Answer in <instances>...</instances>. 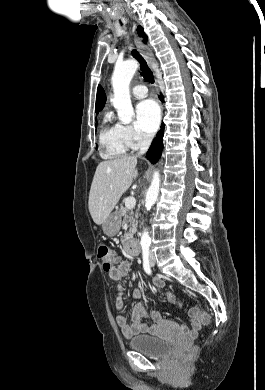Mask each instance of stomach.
<instances>
[{
    "mask_svg": "<svg viewBox=\"0 0 265 390\" xmlns=\"http://www.w3.org/2000/svg\"><path fill=\"white\" fill-rule=\"evenodd\" d=\"M120 226V216L117 212H113L102 223V230L107 236H114L119 232Z\"/></svg>",
    "mask_w": 265,
    "mask_h": 390,
    "instance_id": "stomach-1",
    "label": "stomach"
}]
</instances>
